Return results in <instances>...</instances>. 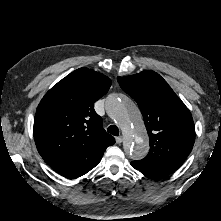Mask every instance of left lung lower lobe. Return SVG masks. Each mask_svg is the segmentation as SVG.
I'll use <instances>...</instances> for the list:
<instances>
[{"label":"left lung lower lobe","mask_w":221,"mask_h":221,"mask_svg":"<svg viewBox=\"0 0 221 221\" xmlns=\"http://www.w3.org/2000/svg\"><path fill=\"white\" fill-rule=\"evenodd\" d=\"M132 167L139 170L143 175H145L146 177L150 178V179H159V178H165L166 176H168L169 174L164 173V172H159V171H145L140 169L137 165H135L133 162L131 163Z\"/></svg>","instance_id":"0a47b994"}]
</instances>
